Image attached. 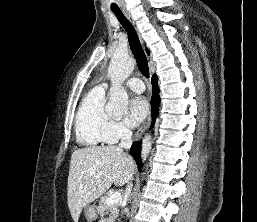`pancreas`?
I'll use <instances>...</instances> for the list:
<instances>
[{"mask_svg": "<svg viewBox=\"0 0 257 222\" xmlns=\"http://www.w3.org/2000/svg\"><path fill=\"white\" fill-rule=\"evenodd\" d=\"M107 196H102L99 201V205L97 207V213L100 214L101 217L105 215H109V217L105 218V222H115V219L118 216L119 203H114L112 205L106 204Z\"/></svg>", "mask_w": 257, "mask_h": 222, "instance_id": "cf45deb5", "label": "pancreas"}]
</instances>
